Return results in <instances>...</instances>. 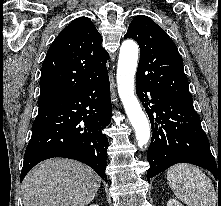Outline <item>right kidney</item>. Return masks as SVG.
<instances>
[{
    "label": "right kidney",
    "instance_id": "1",
    "mask_svg": "<svg viewBox=\"0 0 221 206\" xmlns=\"http://www.w3.org/2000/svg\"><path fill=\"white\" fill-rule=\"evenodd\" d=\"M90 206H99V205H97V204H91Z\"/></svg>",
    "mask_w": 221,
    "mask_h": 206
}]
</instances>
